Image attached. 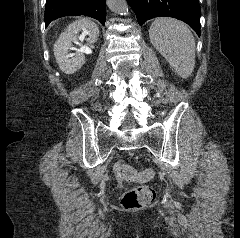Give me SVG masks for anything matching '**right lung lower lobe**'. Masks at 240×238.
<instances>
[{
	"label": "right lung lower lobe",
	"instance_id": "98d812e1",
	"mask_svg": "<svg viewBox=\"0 0 240 238\" xmlns=\"http://www.w3.org/2000/svg\"><path fill=\"white\" fill-rule=\"evenodd\" d=\"M90 16L101 22L106 21L105 0H46L45 26L59 17Z\"/></svg>",
	"mask_w": 240,
	"mask_h": 238
}]
</instances>
